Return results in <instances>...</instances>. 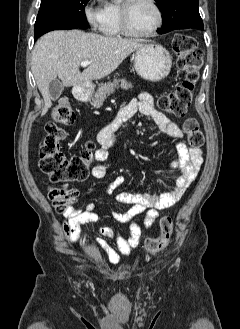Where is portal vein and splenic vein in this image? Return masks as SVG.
<instances>
[{"label":"portal vein and splenic vein","instance_id":"1","mask_svg":"<svg viewBox=\"0 0 240 329\" xmlns=\"http://www.w3.org/2000/svg\"><path fill=\"white\" fill-rule=\"evenodd\" d=\"M92 64V62H90V61H83V62H81V67H87V66H89V65H91Z\"/></svg>","mask_w":240,"mask_h":329}]
</instances>
